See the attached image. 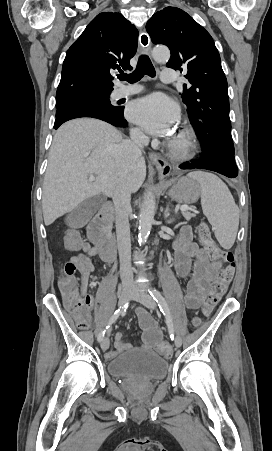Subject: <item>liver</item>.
<instances>
[{
  "instance_id": "1",
  "label": "liver",
  "mask_w": 272,
  "mask_h": 451,
  "mask_svg": "<svg viewBox=\"0 0 272 451\" xmlns=\"http://www.w3.org/2000/svg\"><path fill=\"white\" fill-rule=\"evenodd\" d=\"M121 140L116 128L92 118L71 120L57 130L43 182L45 226L101 192L112 198L119 172L114 156ZM90 176H96L93 182ZM145 178V160L138 158L127 174L130 194L138 192Z\"/></svg>"
}]
</instances>
